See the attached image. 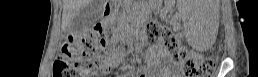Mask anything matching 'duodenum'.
<instances>
[{
  "label": "duodenum",
  "instance_id": "410a0bca",
  "mask_svg": "<svg viewBox=\"0 0 258 77\" xmlns=\"http://www.w3.org/2000/svg\"><path fill=\"white\" fill-rule=\"evenodd\" d=\"M112 3V2H110ZM109 4V3H108ZM105 16L108 17L109 16V7L107 5V7L105 8Z\"/></svg>",
  "mask_w": 258,
  "mask_h": 77
}]
</instances>
